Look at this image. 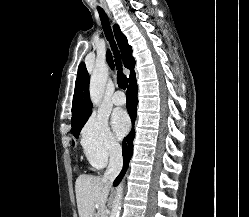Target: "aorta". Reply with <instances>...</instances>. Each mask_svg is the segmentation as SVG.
Masks as SVG:
<instances>
[{"instance_id": "1", "label": "aorta", "mask_w": 249, "mask_h": 217, "mask_svg": "<svg viewBox=\"0 0 249 217\" xmlns=\"http://www.w3.org/2000/svg\"><path fill=\"white\" fill-rule=\"evenodd\" d=\"M107 69L105 67L96 68L90 79V98L93 104L97 105L103 94L107 78ZM123 186L120 184L116 189L115 199L113 201L110 217H119L121 210Z\"/></svg>"}]
</instances>
